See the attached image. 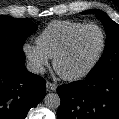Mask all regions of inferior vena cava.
Returning a JSON list of instances; mask_svg holds the SVG:
<instances>
[{"label":"inferior vena cava","instance_id":"1","mask_svg":"<svg viewBox=\"0 0 119 119\" xmlns=\"http://www.w3.org/2000/svg\"><path fill=\"white\" fill-rule=\"evenodd\" d=\"M26 68L29 72L39 74L44 72V67L37 62H28Z\"/></svg>","mask_w":119,"mask_h":119}]
</instances>
